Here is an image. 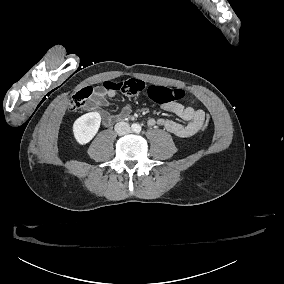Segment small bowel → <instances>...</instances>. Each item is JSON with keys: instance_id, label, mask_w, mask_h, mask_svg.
Wrapping results in <instances>:
<instances>
[{"instance_id": "small-bowel-1", "label": "small bowel", "mask_w": 284, "mask_h": 284, "mask_svg": "<svg viewBox=\"0 0 284 284\" xmlns=\"http://www.w3.org/2000/svg\"><path fill=\"white\" fill-rule=\"evenodd\" d=\"M107 95L112 98L115 96V92L107 91ZM107 105L108 103L104 95L102 93H97L90 100L87 109L93 110ZM162 108L165 111L175 114L185 122L180 123L167 119H149L147 122L149 127H164L169 133L178 138H189L194 136L203 126V121L206 115L201 109H195L193 107L184 106L175 102L163 104ZM131 111V105L127 104L122 108L117 117L120 119H125L131 114ZM103 119L105 122H110L113 119V115L108 112H103Z\"/></svg>"}]
</instances>
